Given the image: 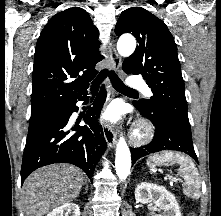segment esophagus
Segmentation results:
<instances>
[{
	"label": "esophagus",
	"instance_id": "1",
	"mask_svg": "<svg viewBox=\"0 0 221 216\" xmlns=\"http://www.w3.org/2000/svg\"><path fill=\"white\" fill-rule=\"evenodd\" d=\"M109 59L112 69L119 72L121 69V57L116 51L115 45L113 42L109 44ZM115 93L109 85L108 97L107 100L110 101L114 97ZM102 130L104 138L110 148H113L116 144V134L113 127L108 122H103Z\"/></svg>",
	"mask_w": 221,
	"mask_h": 216
}]
</instances>
